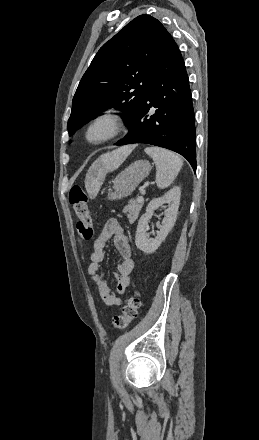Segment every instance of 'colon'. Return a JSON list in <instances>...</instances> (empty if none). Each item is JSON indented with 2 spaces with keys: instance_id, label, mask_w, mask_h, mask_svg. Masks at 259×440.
<instances>
[{
  "instance_id": "1",
  "label": "colon",
  "mask_w": 259,
  "mask_h": 440,
  "mask_svg": "<svg viewBox=\"0 0 259 440\" xmlns=\"http://www.w3.org/2000/svg\"><path fill=\"white\" fill-rule=\"evenodd\" d=\"M68 199L78 217L77 230L81 239L84 241L92 240L94 228L88 209L87 195L80 186L75 185L70 189ZM139 308V295L137 292H134L125 301L122 314L114 317V327L117 329L127 328L137 317Z\"/></svg>"
}]
</instances>
